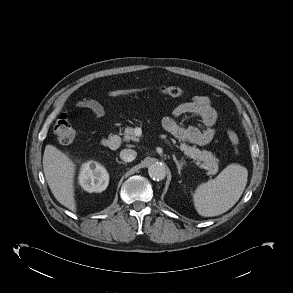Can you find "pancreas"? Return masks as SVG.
I'll return each mask as SVG.
<instances>
[{
	"mask_svg": "<svg viewBox=\"0 0 293 293\" xmlns=\"http://www.w3.org/2000/svg\"><path fill=\"white\" fill-rule=\"evenodd\" d=\"M123 135L125 141L138 140L135 134V129L132 127H126ZM179 148L187 157L196 160L198 163L199 161H202L203 163L201 164V167L208 170L209 175H215L218 172L219 159L216 158L212 152L207 150H200L195 146L192 147L183 142L180 143Z\"/></svg>",
	"mask_w": 293,
	"mask_h": 293,
	"instance_id": "obj_1",
	"label": "pancreas"
}]
</instances>
